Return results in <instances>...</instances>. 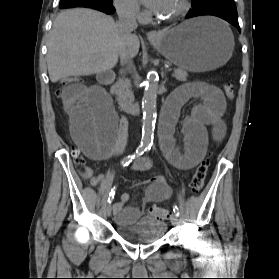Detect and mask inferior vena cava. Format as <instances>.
<instances>
[{"label":"inferior vena cava","mask_w":279,"mask_h":279,"mask_svg":"<svg viewBox=\"0 0 279 279\" xmlns=\"http://www.w3.org/2000/svg\"><path fill=\"white\" fill-rule=\"evenodd\" d=\"M119 23L118 29L120 32L119 54L122 65L133 67L132 57L130 55L127 40L131 36L138 24L136 21L135 11L132 8L123 7L118 10Z\"/></svg>","instance_id":"obj_1"}]
</instances>
